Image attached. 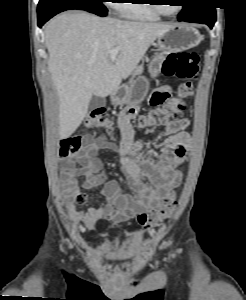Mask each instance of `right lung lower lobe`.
I'll list each match as a JSON object with an SVG mask.
<instances>
[{"mask_svg": "<svg viewBox=\"0 0 246 300\" xmlns=\"http://www.w3.org/2000/svg\"><path fill=\"white\" fill-rule=\"evenodd\" d=\"M72 9H80L83 10L78 5H71V4H59L52 7H49L43 12L38 13V26L41 28L42 25L48 21L50 18H52L54 15L65 11V10H72Z\"/></svg>", "mask_w": 246, "mask_h": 300, "instance_id": "right-lung-lower-lobe-1", "label": "right lung lower lobe"}]
</instances>
